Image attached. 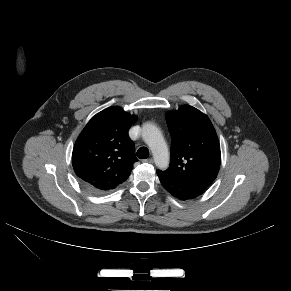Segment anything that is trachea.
Here are the masks:
<instances>
[{
	"mask_svg": "<svg viewBox=\"0 0 291 291\" xmlns=\"http://www.w3.org/2000/svg\"><path fill=\"white\" fill-rule=\"evenodd\" d=\"M137 156L140 159H147L149 157V150L146 147H140L137 151Z\"/></svg>",
	"mask_w": 291,
	"mask_h": 291,
	"instance_id": "trachea-1",
	"label": "trachea"
}]
</instances>
